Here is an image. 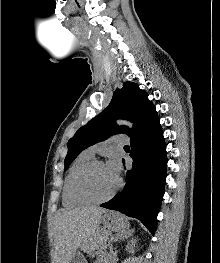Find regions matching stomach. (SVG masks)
Returning a JSON list of instances; mask_svg holds the SVG:
<instances>
[{"instance_id": "obj_1", "label": "stomach", "mask_w": 220, "mask_h": 263, "mask_svg": "<svg viewBox=\"0 0 220 263\" xmlns=\"http://www.w3.org/2000/svg\"><path fill=\"white\" fill-rule=\"evenodd\" d=\"M103 229L107 232H124L129 228L127 219L120 213L107 212L101 217ZM69 263H86L84 256L80 252H75Z\"/></svg>"}]
</instances>
